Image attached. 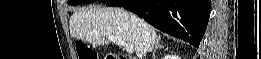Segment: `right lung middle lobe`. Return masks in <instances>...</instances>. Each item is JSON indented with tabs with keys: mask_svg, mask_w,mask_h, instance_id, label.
Returning a JSON list of instances; mask_svg holds the SVG:
<instances>
[{
	"mask_svg": "<svg viewBox=\"0 0 261 59\" xmlns=\"http://www.w3.org/2000/svg\"><path fill=\"white\" fill-rule=\"evenodd\" d=\"M95 0H70L68 4L70 5H77V4H84V3H92ZM100 2H105L106 0H99Z\"/></svg>",
	"mask_w": 261,
	"mask_h": 59,
	"instance_id": "dd1d6c3e",
	"label": "right lung middle lobe"
}]
</instances>
